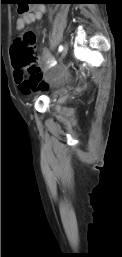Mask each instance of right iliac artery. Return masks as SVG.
<instances>
[{"mask_svg":"<svg viewBox=\"0 0 122 257\" xmlns=\"http://www.w3.org/2000/svg\"><path fill=\"white\" fill-rule=\"evenodd\" d=\"M59 52H61L62 50H63V46L61 45V46H59Z\"/></svg>","mask_w":122,"mask_h":257,"instance_id":"1","label":"right iliac artery"}]
</instances>
